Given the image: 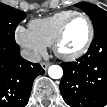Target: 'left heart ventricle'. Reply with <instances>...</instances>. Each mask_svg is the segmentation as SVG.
Returning <instances> with one entry per match:
<instances>
[{
  "label": "left heart ventricle",
  "instance_id": "left-heart-ventricle-1",
  "mask_svg": "<svg viewBox=\"0 0 107 107\" xmlns=\"http://www.w3.org/2000/svg\"><path fill=\"white\" fill-rule=\"evenodd\" d=\"M89 33V27L85 19L75 18L69 24L64 40L61 44V51L72 53L79 50L85 43Z\"/></svg>",
  "mask_w": 107,
  "mask_h": 107
}]
</instances>
